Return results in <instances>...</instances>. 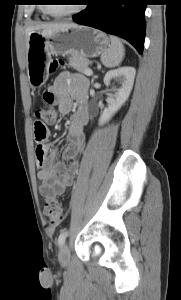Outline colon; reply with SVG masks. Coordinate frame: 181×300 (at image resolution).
<instances>
[{"mask_svg": "<svg viewBox=\"0 0 181 300\" xmlns=\"http://www.w3.org/2000/svg\"><path fill=\"white\" fill-rule=\"evenodd\" d=\"M63 64L64 62L62 59L54 60L50 66V72H55ZM44 99L46 100V104L38 106L35 109V116L38 119L34 125V135L37 148L45 144L48 137V128L46 124L54 122L57 118V111L52 105L54 101L53 94L46 92L44 94ZM44 213L49 223L52 225H57L65 219V213L62 210L59 200L53 197L48 198L45 201Z\"/></svg>", "mask_w": 181, "mask_h": 300, "instance_id": "colon-1", "label": "colon"}]
</instances>
